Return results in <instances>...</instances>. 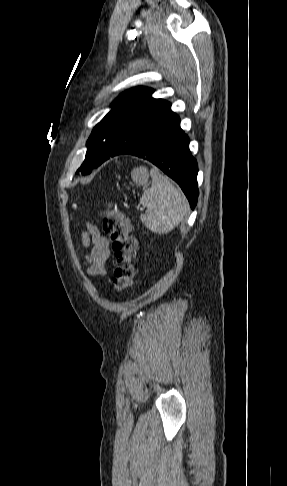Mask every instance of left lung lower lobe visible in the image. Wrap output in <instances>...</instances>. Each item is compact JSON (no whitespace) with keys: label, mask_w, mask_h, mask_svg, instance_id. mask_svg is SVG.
Listing matches in <instances>:
<instances>
[{"label":"left lung lower lobe","mask_w":287,"mask_h":486,"mask_svg":"<svg viewBox=\"0 0 287 486\" xmlns=\"http://www.w3.org/2000/svg\"><path fill=\"white\" fill-rule=\"evenodd\" d=\"M131 154L150 161L175 180L189 200L192 209L198 198V166L189 150V138L180 128V119L173 113Z\"/></svg>","instance_id":"obj_1"}]
</instances>
